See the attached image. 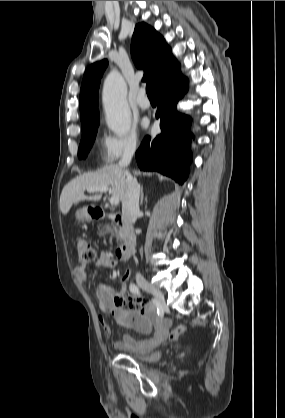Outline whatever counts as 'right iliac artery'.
<instances>
[{"label": "right iliac artery", "mask_w": 285, "mask_h": 418, "mask_svg": "<svg viewBox=\"0 0 285 418\" xmlns=\"http://www.w3.org/2000/svg\"><path fill=\"white\" fill-rule=\"evenodd\" d=\"M130 290L132 293L137 294V295H141L140 290L138 288V286L134 283L130 284Z\"/></svg>", "instance_id": "82829eb1"}]
</instances>
